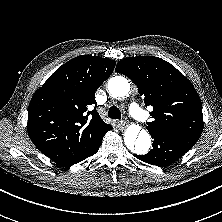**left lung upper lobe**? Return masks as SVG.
Instances as JSON below:
<instances>
[{
  "instance_id": "5c2ea615",
  "label": "left lung upper lobe",
  "mask_w": 222,
  "mask_h": 222,
  "mask_svg": "<svg viewBox=\"0 0 222 222\" xmlns=\"http://www.w3.org/2000/svg\"><path fill=\"white\" fill-rule=\"evenodd\" d=\"M116 72L130 78L151 105L147 130H171L199 138L203 131L202 103L191 82L173 65L153 56L128 57Z\"/></svg>"
}]
</instances>
